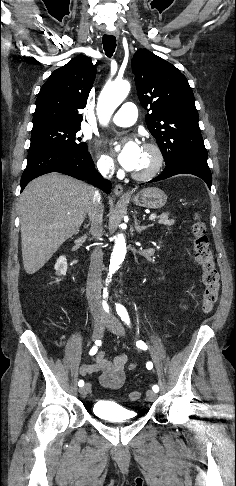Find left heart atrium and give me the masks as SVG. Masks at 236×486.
I'll return each instance as SVG.
<instances>
[{
	"instance_id": "39dd6f15",
	"label": "left heart atrium",
	"mask_w": 236,
	"mask_h": 486,
	"mask_svg": "<svg viewBox=\"0 0 236 486\" xmlns=\"http://www.w3.org/2000/svg\"><path fill=\"white\" fill-rule=\"evenodd\" d=\"M119 147L118 161L128 171H133L139 162L142 148L135 140H127L124 142H116Z\"/></svg>"
}]
</instances>
